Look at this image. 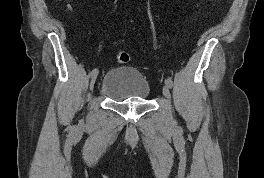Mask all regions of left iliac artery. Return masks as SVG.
Wrapping results in <instances>:
<instances>
[{
  "instance_id": "1",
  "label": "left iliac artery",
  "mask_w": 264,
  "mask_h": 178,
  "mask_svg": "<svg viewBox=\"0 0 264 178\" xmlns=\"http://www.w3.org/2000/svg\"><path fill=\"white\" fill-rule=\"evenodd\" d=\"M165 84L168 86V87H172L173 86V81H172V79L171 78H167L166 80H165Z\"/></svg>"
}]
</instances>
